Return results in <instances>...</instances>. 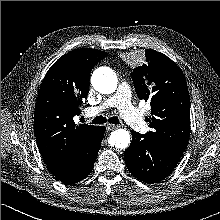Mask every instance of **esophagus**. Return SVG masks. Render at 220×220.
I'll return each instance as SVG.
<instances>
[{"label":"esophagus","mask_w":220,"mask_h":220,"mask_svg":"<svg viewBox=\"0 0 220 220\" xmlns=\"http://www.w3.org/2000/svg\"><path fill=\"white\" fill-rule=\"evenodd\" d=\"M117 128V125H114V124H106V130L107 131H111L113 129H116Z\"/></svg>","instance_id":"obj_1"}]
</instances>
